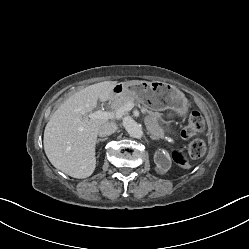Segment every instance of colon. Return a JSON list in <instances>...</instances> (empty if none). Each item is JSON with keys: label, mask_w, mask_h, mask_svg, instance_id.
Instances as JSON below:
<instances>
[{"label": "colon", "mask_w": 249, "mask_h": 249, "mask_svg": "<svg viewBox=\"0 0 249 249\" xmlns=\"http://www.w3.org/2000/svg\"><path fill=\"white\" fill-rule=\"evenodd\" d=\"M205 122L202 115L199 112H192L190 114L188 125L182 130L181 135L184 139H190L195 136L198 132L202 131ZM206 146L203 140L195 139L193 140L188 148L187 155L191 159H197L204 155ZM173 160L182 166L187 165L188 158L180 151H174L172 154Z\"/></svg>", "instance_id": "obj_1"}]
</instances>
